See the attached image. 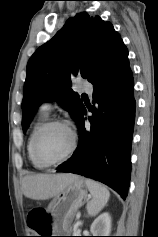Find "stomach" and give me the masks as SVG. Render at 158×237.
<instances>
[{"instance_id": "stomach-1", "label": "stomach", "mask_w": 158, "mask_h": 237, "mask_svg": "<svg viewBox=\"0 0 158 237\" xmlns=\"http://www.w3.org/2000/svg\"><path fill=\"white\" fill-rule=\"evenodd\" d=\"M88 188L77 178L50 202L47 211L54 220V231L66 234L77 210L88 200Z\"/></svg>"}]
</instances>
